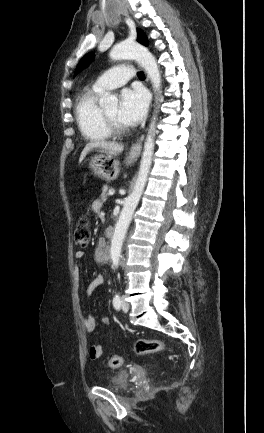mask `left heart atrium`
Masks as SVG:
<instances>
[{"instance_id":"obj_1","label":"left heart atrium","mask_w":264,"mask_h":433,"mask_svg":"<svg viewBox=\"0 0 264 433\" xmlns=\"http://www.w3.org/2000/svg\"><path fill=\"white\" fill-rule=\"evenodd\" d=\"M148 107V96L140 88L126 89L121 93L118 118L125 125H136L144 118Z\"/></svg>"}]
</instances>
